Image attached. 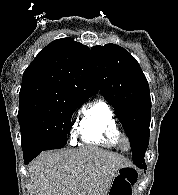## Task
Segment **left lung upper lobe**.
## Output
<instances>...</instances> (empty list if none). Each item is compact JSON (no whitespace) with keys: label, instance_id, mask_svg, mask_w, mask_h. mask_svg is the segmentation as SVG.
<instances>
[{"label":"left lung upper lobe","instance_id":"obj_1","mask_svg":"<svg viewBox=\"0 0 178 195\" xmlns=\"http://www.w3.org/2000/svg\"><path fill=\"white\" fill-rule=\"evenodd\" d=\"M101 94L116 111L131 143L137 167L146 166L151 99L149 85L136 59L115 44L92 47Z\"/></svg>","mask_w":178,"mask_h":195}]
</instances>
